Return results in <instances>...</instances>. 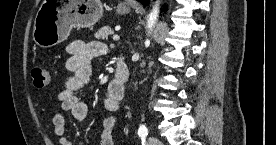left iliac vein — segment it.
<instances>
[{"mask_svg": "<svg viewBox=\"0 0 276 145\" xmlns=\"http://www.w3.org/2000/svg\"><path fill=\"white\" fill-rule=\"evenodd\" d=\"M148 145H161V141L155 136H150L148 138Z\"/></svg>", "mask_w": 276, "mask_h": 145, "instance_id": "4c4485c4", "label": "left iliac vein"}]
</instances>
